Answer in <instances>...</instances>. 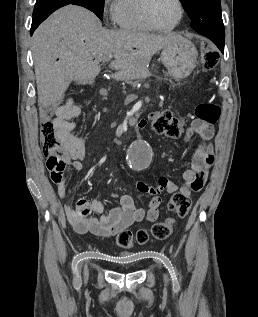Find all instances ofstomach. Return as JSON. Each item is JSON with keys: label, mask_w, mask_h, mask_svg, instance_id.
Returning a JSON list of instances; mask_svg holds the SVG:
<instances>
[{"label": "stomach", "mask_w": 258, "mask_h": 317, "mask_svg": "<svg viewBox=\"0 0 258 317\" xmlns=\"http://www.w3.org/2000/svg\"><path fill=\"white\" fill-rule=\"evenodd\" d=\"M197 56L198 50L188 38H181L176 44L164 46L161 52V60L174 78L188 76L197 62Z\"/></svg>", "instance_id": "stomach-1"}]
</instances>
